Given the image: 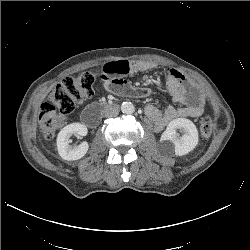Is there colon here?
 I'll return each mask as SVG.
<instances>
[{
	"mask_svg": "<svg viewBox=\"0 0 250 250\" xmlns=\"http://www.w3.org/2000/svg\"><path fill=\"white\" fill-rule=\"evenodd\" d=\"M94 82L93 74L84 72L67 77L54 87L39 110V124L45 139H52L64 125L66 116L93 96ZM213 128L214 122L210 117L202 118L199 122V133L203 138H209Z\"/></svg>",
	"mask_w": 250,
	"mask_h": 250,
	"instance_id": "obj_1",
	"label": "colon"
}]
</instances>
